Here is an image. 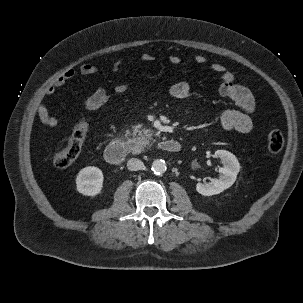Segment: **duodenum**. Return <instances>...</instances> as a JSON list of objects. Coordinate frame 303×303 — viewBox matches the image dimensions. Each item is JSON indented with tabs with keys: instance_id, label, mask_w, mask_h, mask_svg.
<instances>
[{
	"instance_id": "obj_1",
	"label": "duodenum",
	"mask_w": 303,
	"mask_h": 303,
	"mask_svg": "<svg viewBox=\"0 0 303 303\" xmlns=\"http://www.w3.org/2000/svg\"><path fill=\"white\" fill-rule=\"evenodd\" d=\"M159 149L167 153H177L181 150V144L177 140H162L158 144ZM105 159L108 163L120 164L126 156V143L119 139L110 142L104 152Z\"/></svg>"
}]
</instances>
